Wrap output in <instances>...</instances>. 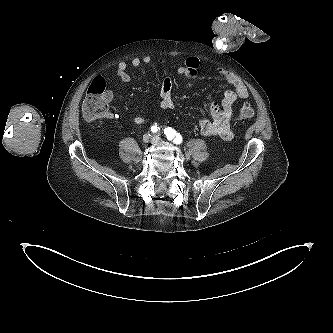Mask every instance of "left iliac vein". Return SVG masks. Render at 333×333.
I'll list each match as a JSON object with an SVG mask.
<instances>
[{
	"label": "left iliac vein",
	"instance_id": "1",
	"mask_svg": "<svg viewBox=\"0 0 333 333\" xmlns=\"http://www.w3.org/2000/svg\"><path fill=\"white\" fill-rule=\"evenodd\" d=\"M153 141H154V142H158V141H160V137H159V135H156L155 137H153Z\"/></svg>",
	"mask_w": 333,
	"mask_h": 333
}]
</instances>
